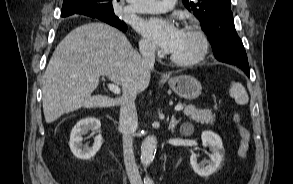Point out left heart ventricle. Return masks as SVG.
Masks as SVG:
<instances>
[{
    "label": "left heart ventricle",
    "mask_w": 293,
    "mask_h": 184,
    "mask_svg": "<svg viewBox=\"0 0 293 184\" xmlns=\"http://www.w3.org/2000/svg\"><path fill=\"white\" fill-rule=\"evenodd\" d=\"M199 49L200 41L197 35L191 31H182L181 39L171 55L180 59H189L194 57Z\"/></svg>",
    "instance_id": "1"
}]
</instances>
